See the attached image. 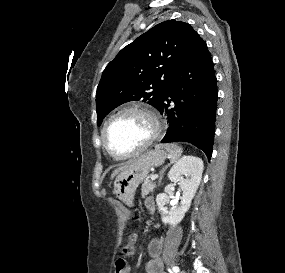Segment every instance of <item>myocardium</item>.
<instances>
[{
  "mask_svg": "<svg viewBox=\"0 0 285 273\" xmlns=\"http://www.w3.org/2000/svg\"><path fill=\"white\" fill-rule=\"evenodd\" d=\"M128 112H136L140 113L144 116H146L152 126V134L150 137L138 148L135 150L128 152V153H118L114 151L107 142V131L110 126V124L113 122L114 119H116L118 116L128 113ZM163 132V122L161 120L160 115L151 107L147 105H128L125 107L120 108L118 111L113 113L105 122L103 128H102V143L106 151L111 154L112 156L116 158H129L133 157L141 152H143L145 149H147L149 146H151L162 134Z\"/></svg>",
  "mask_w": 285,
  "mask_h": 273,
  "instance_id": "1",
  "label": "myocardium"
}]
</instances>
